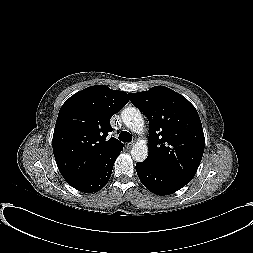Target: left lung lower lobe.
Here are the masks:
<instances>
[{"label": "left lung lower lobe", "instance_id": "left-lung-lower-lobe-1", "mask_svg": "<svg viewBox=\"0 0 253 253\" xmlns=\"http://www.w3.org/2000/svg\"><path fill=\"white\" fill-rule=\"evenodd\" d=\"M136 171L142 184L157 195L172 194L189 183L146 160L136 164Z\"/></svg>", "mask_w": 253, "mask_h": 253}]
</instances>
